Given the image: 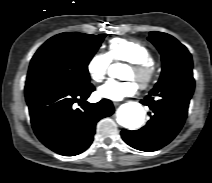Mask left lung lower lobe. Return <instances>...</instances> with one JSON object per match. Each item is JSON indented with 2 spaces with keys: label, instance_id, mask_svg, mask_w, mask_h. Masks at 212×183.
Here are the masks:
<instances>
[{
  "label": "left lung lower lobe",
  "instance_id": "obj_1",
  "mask_svg": "<svg viewBox=\"0 0 212 183\" xmlns=\"http://www.w3.org/2000/svg\"><path fill=\"white\" fill-rule=\"evenodd\" d=\"M195 81L192 70L156 85L141 101L152 110L150 120L139 130H123L121 136L131 147L156 151L170 143L181 130L188 113ZM158 98L155 100L154 98Z\"/></svg>",
  "mask_w": 212,
  "mask_h": 183
}]
</instances>
